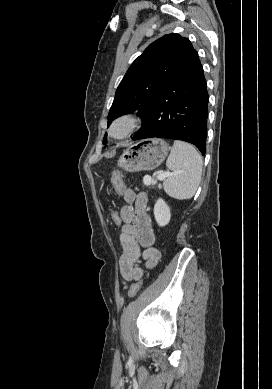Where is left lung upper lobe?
Returning <instances> with one entry per match:
<instances>
[{
  "label": "left lung upper lobe",
  "instance_id": "obj_1",
  "mask_svg": "<svg viewBox=\"0 0 272 389\" xmlns=\"http://www.w3.org/2000/svg\"><path fill=\"white\" fill-rule=\"evenodd\" d=\"M196 55L189 39L179 34H167L151 43L119 84L108 114V125L122 114L136 110L144 122L162 90ZM106 140L105 136L103 143Z\"/></svg>",
  "mask_w": 272,
  "mask_h": 389
}]
</instances>
